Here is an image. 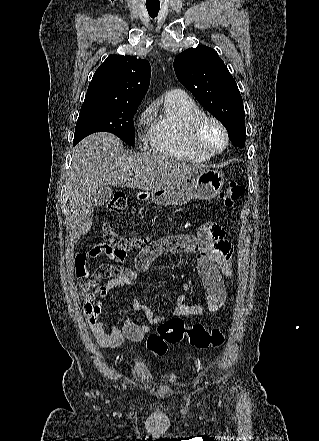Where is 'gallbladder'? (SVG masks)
Segmentation results:
<instances>
[{"label": "gallbladder", "instance_id": "gallbladder-1", "mask_svg": "<svg viewBox=\"0 0 319 441\" xmlns=\"http://www.w3.org/2000/svg\"><path fill=\"white\" fill-rule=\"evenodd\" d=\"M112 196V189L108 186H103L98 190L96 199H95V205L96 206H103L107 203V201Z\"/></svg>", "mask_w": 319, "mask_h": 441}]
</instances>
